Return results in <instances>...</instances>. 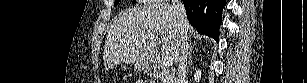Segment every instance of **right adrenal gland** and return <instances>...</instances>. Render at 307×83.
Instances as JSON below:
<instances>
[{"instance_id": "right-adrenal-gland-1", "label": "right adrenal gland", "mask_w": 307, "mask_h": 83, "mask_svg": "<svg viewBox=\"0 0 307 83\" xmlns=\"http://www.w3.org/2000/svg\"><path fill=\"white\" fill-rule=\"evenodd\" d=\"M192 49H190V52H189V57H188V66H190L192 64Z\"/></svg>"}]
</instances>
